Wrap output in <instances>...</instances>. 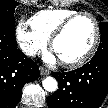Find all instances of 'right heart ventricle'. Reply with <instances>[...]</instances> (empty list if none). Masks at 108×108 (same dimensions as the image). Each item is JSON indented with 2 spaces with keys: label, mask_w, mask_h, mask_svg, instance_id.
<instances>
[{
  "label": "right heart ventricle",
  "mask_w": 108,
  "mask_h": 108,
  "mask_svg": "<svg viewBox=\"0 0 108 108\" xmlns=\"http://www.w3.org/2000/svg\"><path fill=\"white\" fill-rule=\"evenodd\" d=\"M75 13L76 10L67 8L45 9L35 13L29 23L34 31L49 40L56 28Z\"/></svg>",
  "instance_id": "e07e8e85"
}]
</instances>
